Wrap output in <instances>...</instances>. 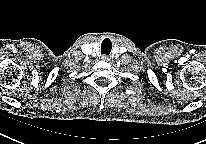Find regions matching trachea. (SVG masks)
I'll return each instance as SVG.
<instances>
[{
  "label": "trachea",
  "mask_w": 206,
  "mask_h": 144,
  "mask_svg": "<svg viewBox=\"0 0 206 144\" xmlns=\"http://www.w3.org/2000/svg\"><path fill=\"white\" fill-rule=\"evenodd\" d=\"M111 51V43L108 40H104L101 45L102 54L108 55Z\"/></svg>",
  "instance_id": "obj_1"
}]
</instances>
